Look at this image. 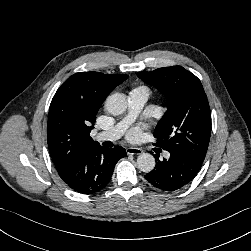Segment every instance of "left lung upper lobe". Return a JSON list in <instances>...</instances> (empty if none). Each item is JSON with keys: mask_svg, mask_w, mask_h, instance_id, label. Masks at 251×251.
Listing matches in <instances>:
<instances>
[{"mask_svg": "<svg viewBox=\"0 0 251 251\" xmlns=\"http://www.w3.org/2000/svg\"><path fill=\"white\" fill-rule=\"evenodd\" d=\"M137 75L168 99V109L154 131L155 145L169 152H187L204 161L211 135V111L200 80L181 66Z\"/></svg>", "mask_w": 251, "mask_h": 251, "instance_id": "5c2ea615", "label": "left lung upper lobe"}]
</instances>
